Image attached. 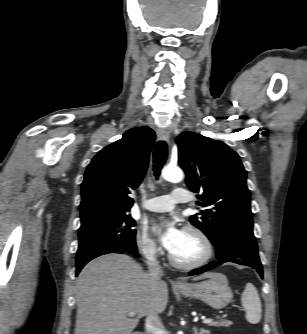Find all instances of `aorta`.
<instances>
[{"label":"aorta","mask_w":307,"mask_h":334,"mask_svg":"<svg viewBox=\"0 0 307 334\" xmlns=\"http://www.w3.org/2000/svg\"><path fill=\"white\" fill-rule=\"evenodd\" d=\"M162 176L169 182H180L183 179V172L178 167L167 166L162 171Z\"/></svg>","instance_id":"762f6f07"}]
</instances>
